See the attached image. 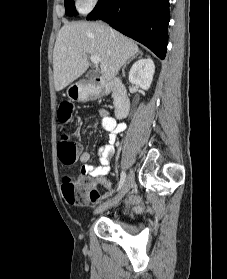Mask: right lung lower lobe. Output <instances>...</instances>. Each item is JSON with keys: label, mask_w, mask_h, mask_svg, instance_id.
<instances>
[{"label": "right lung lower lobe", "mask_w": 227, "mask_h": 279, "mask_svg": "<svg viewBox=\"0 0 227 279\" xmlns=\"http://www.w3.org/2000/svg\"><path fill=\"white\" fill-rule=\"evenodd\" d=\"M102 19L144 44L160 59L168 41L169 0H99L87 20Z\"/></svg>", "instance_id": "right-lung-lower-lobe-1"}]
</instances>
